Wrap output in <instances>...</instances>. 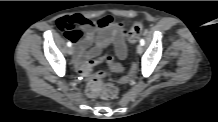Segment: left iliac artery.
Masks as SVG:
<instances>
[{
    "label": "left iliac artery",
    "instance_id": "44dca946",
    "mask_svg": "<svg viewBox=\"0 0 218 122\" xmlns=\"http://www.w3.org/2000/svg\"><path fill=\"white\" fill-rule=\"evenodd\" d=\"M140 44L143 46L145 44V41L143 38L140 39Z\"/></svg>",
    "mask_w": 218,
    "mask_h": 122
}]
</instances>
